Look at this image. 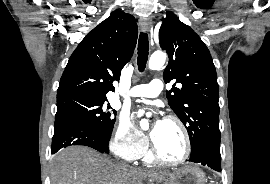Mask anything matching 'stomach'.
<instances>
[{
	"label": "stomach",
	"mask_w": 270,
	"mask_h": 184,
	"mask_svg": "<svg viewBox=\"0 0 270 184\" xmlns=\"http://www.w3.org/2000/svg\"><path fill=\"white\" fill-rule=\"evenodd\" d=\"M165 184H206L204 173L196 166L185 165L164 174Z\"/></svg>",
	"instance_id": "obj_1"
}]
</instances>
